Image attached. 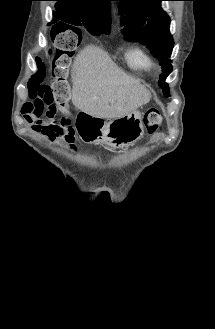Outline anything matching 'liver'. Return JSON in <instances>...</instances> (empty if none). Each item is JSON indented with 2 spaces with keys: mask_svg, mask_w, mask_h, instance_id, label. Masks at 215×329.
Returning <instances> with one entry per match:
<instances>
[{
  "mask_svg": "<svg viewBox=\"0 0 215 329\" xmlns=\"http://www.w3.org/2000/svg\"><path fill=\"white\" fill-rule=\"evenodd\" d=\"M72 81L73 105L92 117H121L151 99V93L139 80L128 76L107 53L93 46L76 56Z\"/></svg>",
  "mask_w": 215,
  "mask_h": 329,
  "instance_id": "liver-1",
  "label": "liver"
}]
</instances>
